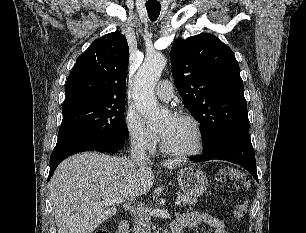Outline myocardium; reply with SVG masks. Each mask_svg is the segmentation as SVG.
Segmentation results:
<instances>
[{"label":"myocardium","instance_id":"f54148a6","mask_svg":"<svg viewBox=\"0 0 306 233\" xmlns=\"http://www.w3.org/2000/svg\"><path fill=\"white\" fill-rule=\"evenodd\" d=\"M175 118L179 119H185L190 121L197 133V144L196 147L193 150L190 151H176L171 148L166 144L163 136H161V147L164 153L170 155V156H175V157H193L201 153L204 147V131L203 127L200 123V121L192 114L187 113V112H180L175 115Z\"/></svg>","mask_w":306,"mask_h":233}]
</instances>
